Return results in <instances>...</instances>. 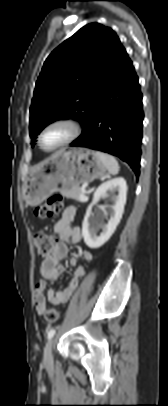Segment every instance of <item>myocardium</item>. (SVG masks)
Here are the masks:
<instances>
[{
	"mask_svg": "<svg viewBox=\"0 0 168 406\" xmlns=\"http://www.w3.org/2000/svg\"><path fill=\"white\" fill-rule=\"evenodd\" d=\"M54 126L66 127L68 129V135L65 138V140L62 143H60L59 145H57L53 148H45L42 144V135L48 128L54 127ZM81 132H82V127L77 120L70 118V117H59V118L49 121L41 128V130L37 136L38 145L40 146V148L42 150H44L46 152H53V151L62 149L64 147H66L67 145H69L70 143H72L74 140H76L80 136Z\"/></svg>",
	"mask_w": 168,
	"mask_h": 406,
	"instance_id": "1",
	"label": "myocardium"
}]
</instances>
